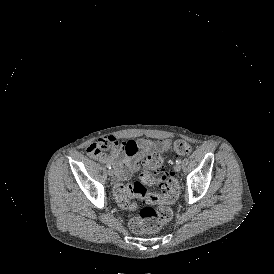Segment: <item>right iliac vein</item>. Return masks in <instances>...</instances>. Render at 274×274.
Masks as SVG:
<instances>
[{"instance_id": "1", "label": "right iliac vein", "mask_w": 274, "mask_h": 274, "mask_svg": "<svg viewBox=\"0 0 274 274\" xmlns=\"http://www.w3.org/2000/svg\"><path fill=\"white\" fill-rule=\"evenodd\" d=\"M108 175L111 176L112 178L114 177V171L112 169L108 170ZM112 181L115 182V178L112 179Z\"/></svg>"}]
</instances>
